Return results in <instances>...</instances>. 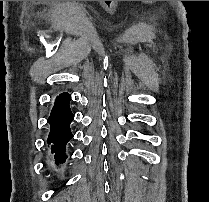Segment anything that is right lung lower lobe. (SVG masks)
I'll return each mask as SVG.
<instances>
[{
  "instance_id": "right-lung-lower-lobe-1",
  "label": "right lung lower lobe",
  "mask_w": 209,
  "mask_h": 202,
  "mask_svg": "<svg viewBox=\"0 0 209 202\" xmlns=\"http://www.w3.org/2000/svg\"><path fill=\"white\" fill-rule=\"evenodd\" d=\"M71 96L68 93L60 94L55 101V105L48 118L51 130L47 139L50 144L51 153L54 154L56 163H61L65 160V146L73 137L70 130V123L74 119L69 102Z\"/></svg>"
}]
</instances>
